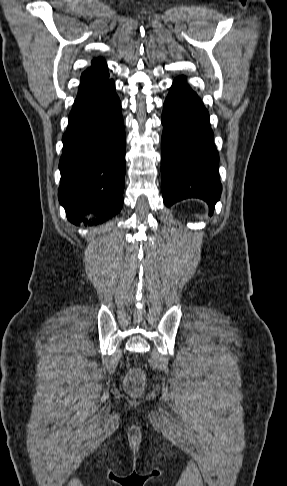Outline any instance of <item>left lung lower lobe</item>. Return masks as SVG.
<instances>
[{"mask_svg":"<svg viewBox=\"0 0 287 486\" xmlns=\"http://www.w3.org/2000/svg\"><path fill=\"white\" fill-rule=\"evenodd\" d=\"M161 190L166 206L200 198L211 210L219 200L218 152L209 113L185 76L177 77L164 102Z\"/></svg>","mask_w":287,"mask_h":486,"instance_id":"1","label":"left lung lower lobe"}]
</instances>
